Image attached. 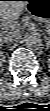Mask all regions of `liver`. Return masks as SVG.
I'll list each match as a JSON object with an SVG mask.
<instances>
[{
  "label": "liver",
  "mask_w": 50,
  "mask_h": 111,
  "mask_svg": "<svg viewBox=\"0 0 50 111\" xmlns=\"http://www.w3.org/2000/svg\"><path fill=\"white\" fill-rule=\"evenodd\" d=\"M27 3L28 1L26 0L0 2V17L2 20L8 21L7 29H14L16 27L15 20L19 18Z\"/></svg>",
  "instance_id": "1"
}]
</instances>
